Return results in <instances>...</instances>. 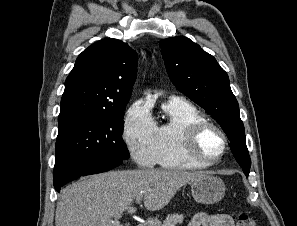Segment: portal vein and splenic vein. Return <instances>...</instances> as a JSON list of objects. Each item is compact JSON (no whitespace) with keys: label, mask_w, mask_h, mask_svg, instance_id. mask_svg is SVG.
<instances>
[{"label":"portal vein and splenic vein","mask_w":297,"mask_h":226,"mask_svg":"<svg viewBox=\"0 0 297 226\" xmlns=\"http://www.w3.org/2000/svg\"><path fill=\"white\" fill-rule=\"evenodd\" d=\"M141 200H142V197H137V198L135 199V202H136V203H140Z\"/></svg>","instance_id":"obj_1"}]
</instances>
